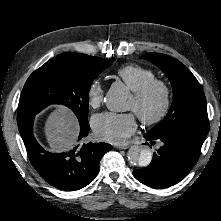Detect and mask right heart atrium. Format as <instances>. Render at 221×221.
<instances>
[{
  "mask_svg": "<svg viewBox=\"0 0 221 221\" xmlns=\"http://www.w3.org/2000/svg\"><path fill=\"white\" fill-rule=\"evenodd\" d=\"M89 105L93 108H97L101 105L104 100V90L99 80H94L87 92Z\"/></svg>",
  "mask_w": 221,
  "mask_h": 221,
  "instance_id": "obj_1",
  "label": "right heart atrium"
}]
</instances>
